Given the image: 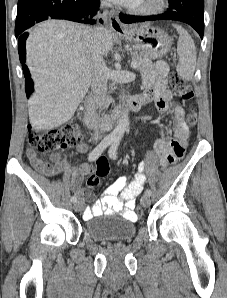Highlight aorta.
I'll use <instances>...</instances> for the list:
<instances>
[{"mask_svg":"<svg viewBox=\"0 0 227 298\" xmlns=\"http://www.w3.org/2000/svg\"><path fill=\"white\" fill-rule=\"evenodd\" d=\"M124 99H125V96L122 97V101H124ZM128 125H129L128 112L127 110H124L121 118L119 119L117 126L111 132L110 136L115 140H120L123 137Z\"/></svg>","mask_w":227,"mask_h":298,"instance_id":"aorta-1","label":"aorta"}]
</instances>
